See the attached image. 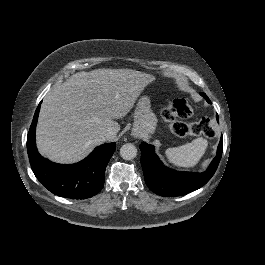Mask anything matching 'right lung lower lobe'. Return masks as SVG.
Instances as JSON below:
<instances>
[{"label":"right lung lower lobe","mask_w":265,"mask_h":265,"mask_svg":"<svg viewBox=\"0 0 265 265\" xmlns=\"http://www.w3.org/2000/svg\"><path fill=\"white\" fill-rule=\"evenodd\" d=\"M40 104L36 109L27 136V151L32 171L42 185L53 194L71 199H86L97 194L104 185L107 163L116 144L108 143L96 147L84 160L62 165L43 158L37 151L35 130Z\"/></svg>","instance_id":"98d812e1"}]
</instances>
